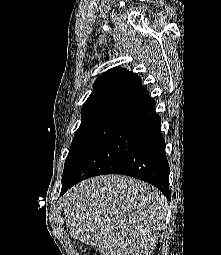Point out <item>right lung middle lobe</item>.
I'll return each instance as SVG.
<instances>
[{"label": "right lung middle lobe", "instance_id": "right-lung-middle-lobe-1", "mask_svg": "<svg viewBox=\"0 0 221 255\" xmlns=\"http://www.w3.org/2000/svg\"><path fill=\"white\" fill-rule=\"evenodd\" d=\"M116 109L115 107H105L82 113L81 125L73 138L69 154L65 161L63 178L70 172L74 164Z\"/></svg>", "mask_w": 221, "mask_h": 255}]
</instances>
